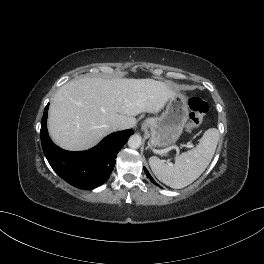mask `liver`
<instances>
[{
  "label": "liver",
  "instance_id": "liver-1",
  "mask_svg": "<svg viewBox=\"0 0 264 264\" xmlns=\"http://www.w3.org/2000/svg\"><path fill=\"white\" fill-rule=\"evenodd\" d=\"M178 88L154 79L84 77L64 84L50 104L48 130L67 150H85L114 131L136 125L135 116L158 113Z\"/></svg>",
  "mask_w": 264,
  "mask_h": 264
}]
</instances>
